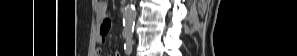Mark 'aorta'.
<instances>
[{"mask_svg":"<svg viewBox=\"0 0 297 56\" xmlns=\"http://www.w3.org/2000/svg\"><path fill=\"white\" fill-rule=\"evenodd\" d=\"M136 13L134 5H127L124 8L123 12V26L124 32L128 34H132L134 23H135Z\"/></svg>","mask_w":297,"mask_h":56,"instance_id":"762f6f07","label":"aorta"}]
</instances>
